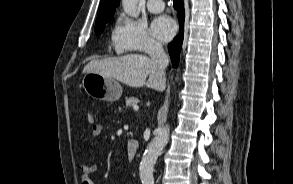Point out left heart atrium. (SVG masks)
<instances>
[{
    "mask_svg": "<svg viewBox=\"0 0 293 184\" xmlns=\"http://www.w3.org/2000/svg\"><path fill=\"white\" fill-rule=\"evenodd\" d=\"M152 34L161 41H168L176 31V25L172 18L159 16L151 25Z\"/></svg>",
    "mask_w": 293,
    "mask_h": 184,
    "instance_id": "left-heart-atrium-1",
    "label": "left heart atrium"
}]
</instances>
